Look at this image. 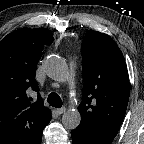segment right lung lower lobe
Returning a JSON list of instances; mask_svg holds the SVG:
<instances>
[{"mask_svg": "<svg viewBox=\"0 0 144 144\" xmlns=\"http://www.w3.org/2000/svg\"><path fill=\"white\" fill-rule=\"evenodd\" d=\"M36 144H41V138L37 141Z\"/></svg>", "mask_w": 144, "mask_h": 144, "instance_id": "98d812e1", "label": "right lung lower lobe"}]
</instances>
